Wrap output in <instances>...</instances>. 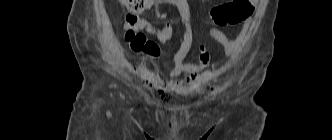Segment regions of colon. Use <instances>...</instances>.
I'll return each instance as SVG.
<instances>
[{
  "instance_id": "colon-1",
  "label": "colon",
  "mask_w": 332,
  "mask_h": 140,
  "mask_svg": "<svg viewBox=\"0 0 332 140\" xmlns=\"http://www.w3.org/2000/svg\"><path fill=\"white\" fill-rule=\"evenodd\" d=\"M122 6L131 14L126 16L124 23L125 39L131 48L140 53L150 56H158V46L148 40L141 33L142 30L155 35L160 34L166 39H172L176 33L177 26L168 22L161 28L153 27L147 20L139 14L149 7L154 0H119ZM258 0H231L218 4L209 12V17L216 26L224 27L240 24L248 20L254 13Z\"/></svg>"
}]
</instances>
